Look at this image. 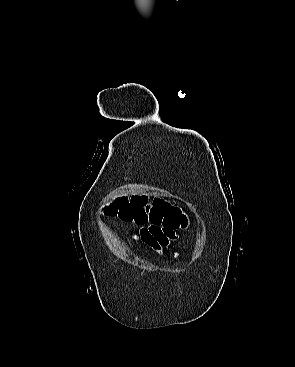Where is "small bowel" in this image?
<instances>
[{"mask_svg": "<svg viewBox=\"0 0 295 367\" xmlns=\"http://www.w3.org/2000/svg\"><path fill=\"white\" fill-rule=\"evenodd\" d=\"M137 224L141 227L136 234V238L159 253L167 248L171 241L176 239V229L180 226L163 219L157 222L146 221Z\"/></svg>", "mask_w": 295, "mask_h": 367, "instance_id": "obj_1", "label": "small bowel"}]
</instances>
